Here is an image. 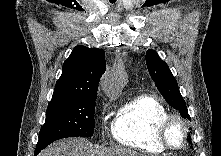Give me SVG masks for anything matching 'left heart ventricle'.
<instances>
[{"label":"left heart ventricle","mask_w":221,"mask_h":156,"mask_svg":"<svg viewBox=\"0 0 221 156\" xmlns=\"http://www.w3.org/2000/svg\"><path fill=\"white\" fill-rule=\"evenodd\" d=\"M168 140L171 143V145L175 147H179L184 140V130L182 125L174 121L171 123L168 129Z\"/></svg>","instance_id":"b2bd125f"}]
</instances>
